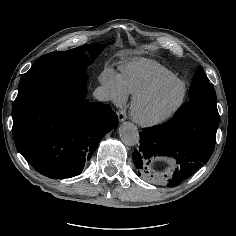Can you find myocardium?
I'll use <instances>...</instances> for the list:
<instances>
[{"instance_id": "f54148a6", "label": "myocardium", "mask_w": 236, "mask_h": 236, "mask_svg": "<svg viewBox=\"0 0 236 236\" xmlns=\"http://www.w3.org/2000/svg\"><path fill=\"white\" fill-rule=\"evenodd\" d=\"M175 82L179 83L182 87L181 94L179 98L177 99V101L166 112H164L163 114L157 117L149 118V117L144 116L140 111L141 103L159 88L165 85L171 84V83H175ZM186 94H187L186 84L177 77L161 79L156 82H153L152 84L143 88L142 90H140L134 95L131 101V105H130L131 118L136 124L142 127L151 128V127L162 125L165 122H167L169 119H171L179 111V109L182 107L184 103Z\"/></svg>"}]
</instances>
